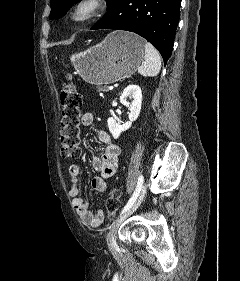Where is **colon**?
Here are the masks:
<instances>
[{"mask_svg":"<svg viewBox=\"0 0 240 281\" xmlns=\"http://www.w3.org/2000/svg\"><path fill=\"white\" fill-rule=\"evenodd\" d=\"M61 102V155L67 159H76L80 155V115L82 96L70 81L63 84L60 91ZM120 191L115 188L110 192L106 209L114 215L120 207Z\"/></svg>","mask_w":240,"mask_h":281,"instance_id":"5ec220e1","label":"colon"}]
</instances>
